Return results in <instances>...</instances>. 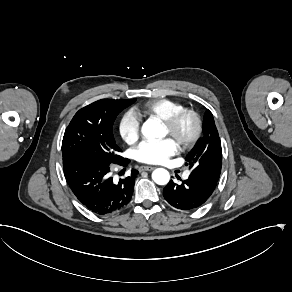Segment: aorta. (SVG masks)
<instances>
[{"mask_svg":"<svg viewBox=\"0 0 292 292\" xmlns=\"http://www.w3.org/2000/svg\"><path fill=\"white\" fill-rule=\"evenodd\" d=\"M142 134L149 138H162L166 135L165 128L160 122L152 119L143 124ZM152 179L158 185H166L170 180V175L166 169L157 168L152 173Z\"/></svg>","mask_w":292,"mask_h":292,"instance_id":"obj_1","label":"aorta"}]
</instances>
